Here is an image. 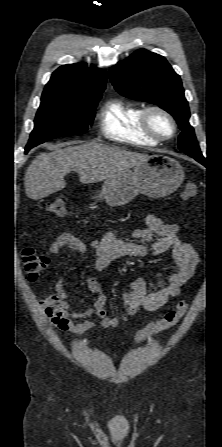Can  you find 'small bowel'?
I'll return each instance as SVG.
<instances>
[{"instance_id":"1","label":"small bowel","mask_w":222,"mask_h":447,"mask_svg":"<svg viewBox=\"0 0 222 447\" xmlns=\"http://www.w3.org/2000/svg\"><path fill=\"white\" fill-rule=\"evenodd\" d=\"M147 225L137 229L131 236L136 240H123L116 230L107 232L101 239L93 240L89 246L95 251L94 271L87 276L88 289L97 294V300L91 308L81 311H71L68 303V293L63 285L65 275L56 283L55 293L39 301V306L51 323L63 331L84 333L94 328H114L121 320L108 315L105 309L106 297L98 281V273L103 271L113 260L122 257L142 258L148 255L161 256L167 252L172 255V264L168 269L166 280L161 273L155 274L157 288L147 292L142 278L132 281L125 293V316L136 315L140 309L155 311L163 307L170 298L179 294L181 286L189 281L197 264V254L194 249L182 241L179 236L180 226L168 223L153 214H144ZM63 248H70L83 253L87 245L71 233L60 234L49 246L52 254H59ZM96 316L98 320L92 319Z\"/></svg>"}]
</instances>
